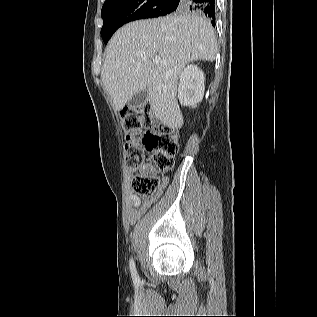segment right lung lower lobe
Listing matches in <instances>:
<instances>
[{"mask_svg":"<svg viewBox=\"0 0 317 317\" xmlns=\"http://www.w3.org/2000/svg\"><path fill=\"white\" fill-rule=\"evenodd\" d=\"M172 6L181 11L203 13L211 18V23L215 26V0H173Z\"/></svg>","mask_w":317,"mask_h":317,"instance_id":"right-lung-lower-lobe-1","label":"right lung lower lobe"}]
</instances>
